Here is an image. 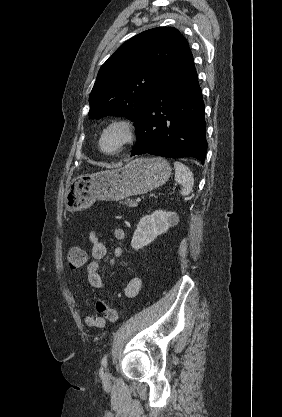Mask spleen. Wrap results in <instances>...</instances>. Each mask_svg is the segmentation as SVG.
Here are the masks:
<instances>
[{
    "label": "spleen",
    "instance_id": "spleen-1",
    "mask_svg": "<svg viewBox=\"0 0 282 417\" xmlns=\"http://www.w3.org/2000/svg\"><path fill=\"white\" fill-rule=\"evenodd\" d=\"M174 168H175V180L179 182V184H182V188L180 190L181 194H190L193 184H194V178L193 174L186 166V164H183V162H174Z\"/></svg>",
    "mask_w": 282,
    "mask_h": 417
}]
</instances>
